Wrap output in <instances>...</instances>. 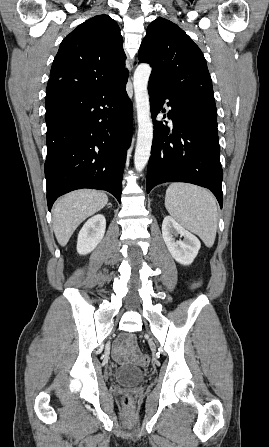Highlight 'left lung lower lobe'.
<instances>
[{"instance_id": "0a47b994", "label": "left lung lower lobe", "mask_w": 269, "mask_h": 447, "mask_svg": "<svg viewBox=\"0 0 269 447\" xmlns=\"http://www.w3.org/2000/svg\"><path fill=\"white\" fill-rule=\"evenodd\" d=\"M154 119L166 99L172 109L167 116L173 128L154 123V137L147 168V193L160 183L187 182L210 189L222 208L223 171L217 120L197 116L183 101L163 89L148 84ZM164 111V110H163Z\"/></svg>"}]
</instances>
